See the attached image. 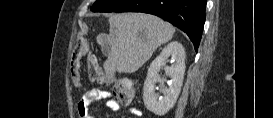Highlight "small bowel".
<instances>
[{
	"instance_id": "small-bowel-1",
	"label": "small bowel",
	"mask_w": 273,
	"mask_h": 118,
	"mask_svg": "<svg viewBox=\"0 0 273 118\" xmlns=\"http://www.w3.org/2000/svg\"><path fill=\"white\" fill-rule=\"evenodd\" d=\"M94 101H103L107 108L112 111H119L120 104L108 93L98 89L88 90L77 104L80 118H90L89 107ZM133 116H140L141 111L137 108L130 109Z\"/></svg>"
}]
</instances>
